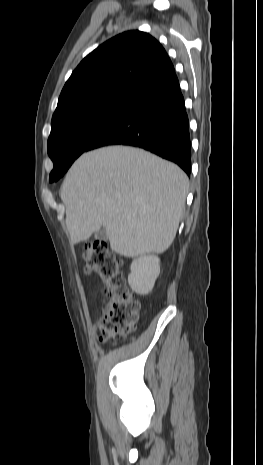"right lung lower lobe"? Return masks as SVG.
<instances>
[{"instance_id":"98d812e1","label":"right lung lower lobe","mask_w":263,"mask_h":465,"mask_svg":"<svg viewBox=\"0 0 263 465\" xmlns=\"http://www.w3.org/2000/svg\"><path fill=\"white\" fill-rule=\"evenodd\" d=\"M113 144L148 150L175 162L190 176L189 121L175 73L140 92L89 150Z\"/></svg>"}]
</instances>
